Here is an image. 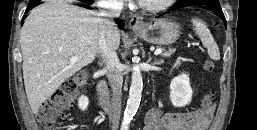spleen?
<instances>
[{
  "instance_id": "obj_1",
  "label": "spleen",
  "mask_w": 257,
  "mask_h": 130,
  "mask_svg": "<svg viewBox=\"0 0 257 130\" xmlns=\"http://www.w3.org/2000/svg\"><path fill=\"white\" fill-rule=\"evenodd\" d=\"M191 21L194 26L193 29L195 33L199 36L203 46L207 48V52L210 58L215 61L220 60L218 45L215 42L207 25L197 18H193Z\"/></svg>"
}]
</instances>
